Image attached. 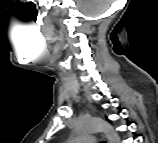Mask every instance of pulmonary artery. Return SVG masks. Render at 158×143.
I'll use <instances>...</instances> for the list:
<instances>
[{
	"mask_svg": "<svg viewBox=\"0 0 158 143\" xmlns=\"http://www.w3.org/2000/svg\"><path fill=\"white\" fill-rule=\"evenodd\" d=\"M94 138L93 137H85L83 138V140H87V141H92Z\"/></svg>",
	"mask_w": 158,
	"mask_h": 143,
	"instance_id": "pulmonary-artery-1",
	"label": "pulmonary artery"
}]
</instances>
